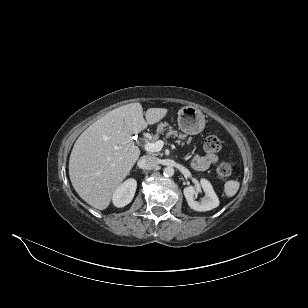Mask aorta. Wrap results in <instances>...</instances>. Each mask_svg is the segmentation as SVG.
<instances>
[{
    "label": "aorta",
    "instance_id": "1",
    "mask_svg": "<svg viewBox=\"0 0 308 308\" xmlns=\"http://www.w3.org/2000/svg\"><path fill=\"white\" fill-rule=\"evenodd\" d=\"M163 174L165 177H171L174 175V168L173 167H165L163 170Z\"/></svg>",
    "mask_w": 308,
    "mask_h": 308
}]
</instances>
